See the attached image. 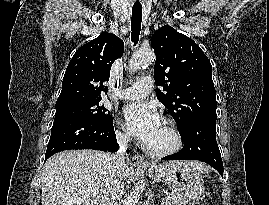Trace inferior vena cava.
Instances as JSON below:
<instances>
[{
    "mask_svg": "<svg viewBox=\"0 0 269 205\" xmlns=\"http://www.w3.org/2000/svg\"><path fill=\"white\" fill-rule=\"evenodd\" d=\"M116 139L120 148L115 154L109 156L112 176L107 192L102 198L100 205H120L124 194L123 172L125 168L126 149L130 138L121 132H116Z\"/></svg>",
    "mask_w": 269,
    "mask_h": 205,
    "instance_id": "602c4592",
    "label": "inferior vena cava"
}]
</instances>
